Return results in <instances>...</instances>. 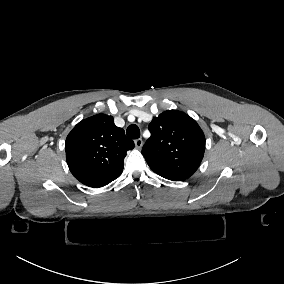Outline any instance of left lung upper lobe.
I'll return each mask as SVG.
<instances>
[{"label":"left lung upper lobe","mask_w":284,"mask_h":284,"mask_svg":"<svg viewBox=\"0 0 284 284\" xmlns=\"http://www.w3.org/2000/svg\"><path fill=\"white\" fill-rule=\"evenodd\" d=\"M149 130L142 154L150 168L174 181L192 176L205 151V136L197 122L184 112L167 110L153 118Z\"/></svg>","instance_id":"5c2ea615"}]
</instances>
